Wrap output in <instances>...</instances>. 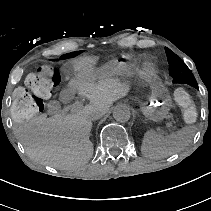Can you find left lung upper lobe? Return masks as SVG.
<instances>
[{"mask_svg":"<svg viewBox=\"0 0 211 211\" xmlns=\"http://www.w3.org/2000/svg\"><path fill=\"white\" fill-rule=\"evenodd\" d=\"M169 63V74L174 83L188 84L198 89V84L187 65L169 48H165Z\"/></svg>","mask_w":211,"mask_h":211,"instance_id":"1","label":"left lung upper lobe"}]
</instances>
